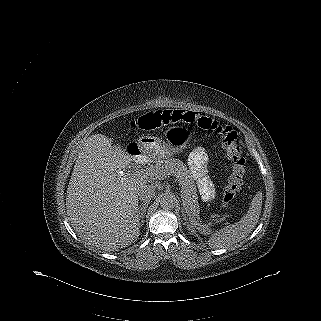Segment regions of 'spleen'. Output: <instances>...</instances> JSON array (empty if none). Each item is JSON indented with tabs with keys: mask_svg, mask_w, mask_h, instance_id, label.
<instances>
[{
	"mask_svg": "<svg viewBox=\"0 0 321 321\" xmlns=\"http://www.w3.org/2000/svg\"><path fill=\"white\" fill-rule=\"evenodd\" d=\"M262 207V193H257L251 202L248 212L240 221L216 231L209 239V245L214 248H226L234 245L255 228Z\"/></svg>",
	"mask_w": 321,
	"mask_h": 321,
	"instance_id": "spleen-1",
	"label": "spleen"
}]
</instances>
